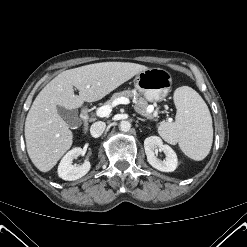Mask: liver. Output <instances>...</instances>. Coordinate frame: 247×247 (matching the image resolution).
Listing matches in <instances>:
<instances>
[{"mask_svg":"<svg viewBox=\"0 0 247 247\" xmlns=\"http://www.w3.org/2000/svg\"><path fill=\"white\" fill-rule=\"evenodd\" d=\"M146 69L136 63L102 62L63 71L52 79L35 98L25 121L27 152L36 168L50 171L72 146L73 134L57 106L73 110L98 101Z\"/></svg>","mask_w":247,"mask_h":247,"instance_id":"6515ba94","label":"liver"}]
</instances>
